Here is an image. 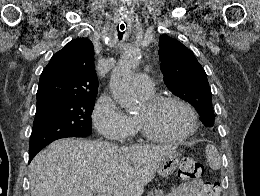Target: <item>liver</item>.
<instances>
[{"label": "liver", "instance_id": "6515ba94", "mask_svg": "<svg viewBox=\"0 0 260 196\" xmlns=\"http://www.w3.org/2000/svg\"><path fill=\"white\" fill-rule=\"evenodd\" d=\"M178 146H122L109 142L56 140L33 158L31 196H142L157 164Z\"/></svg>", "mask_w": 260, "mask_h": 196}]
</instances>
